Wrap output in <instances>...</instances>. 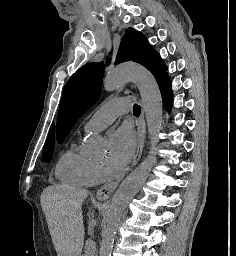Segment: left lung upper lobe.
Segmentation results:
<instances>
[{
    "label": "left lung upper lobe",
    "mask_w": 236,
    "mask_h": 256,
    "mask_svg": "<svg viewBox=\"0 0 236 256\" xmlns=\"http://www.w3.org/2000/svg\"><path fill=\"white\" fill-rule=\"evenodd\" d=\"M132 60L146 67L158 81L165 75L166 66L144 35L133 28L125 31L116 64ZM103 63H88L67 82L59 106L57 141L63 143L78 118L89 109L101 94Z\"/></svg>",
    "instance_id": "5c2ea615"
}]
</instances>
